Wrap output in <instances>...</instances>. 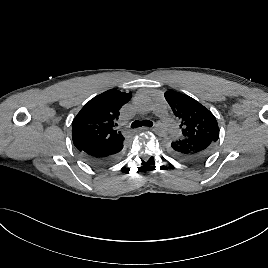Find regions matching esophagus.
<instances>
[{"label":"esophagus","instance_id":"34e87169","mask_svg":"<svg viewBox=\"0 0 268 268\" xmlns=\"http://www.w3.org/2000/svg\"><path fill=\"white\" fill-rule=\"evenodd\" d=\"M143 130H147V129H150V130H154L153 128H148V127H142Z\"/></svg>","mask_w":268,"mask_h":268}]
</instances>
